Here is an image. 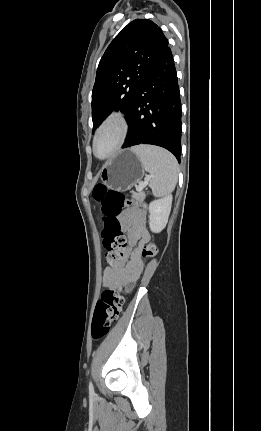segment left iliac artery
<instances>
[{
  "label": "left iliac artery",
  "mask_w": 261,
  "mask_h": 431,
  "mask_svg": "<svg viewBox=\"0 0 261 431\" xmlns=\"http://www.w3.org/2000/svg\"><path fill=\"white\" fill-rule=\"evenodd\" d=\"M89 392H90L91 395L94 394V388H93V384H92L91 381L89 382Z\"/></svg>",
  "instance_id": "1"
}]
</instances>
